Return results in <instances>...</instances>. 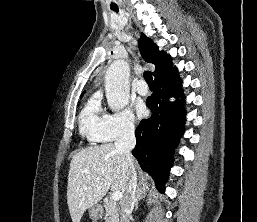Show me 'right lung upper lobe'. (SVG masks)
I'll use <instances>...</instances> for the list:
<instances>
[{
    "label": "right lung upper lobe",
    "instance_id": "obj_1",
    "mask_svg": "<svg viewBox=\"0 0 257 222\" xmlns=\"http://www.w3.org/2000/svg\"><path fill=\"white\" fill-rule=\"evenodd\" d=\"M139 50L146 62L155 65L156 68L153 72V76L155 78L176 70L172 67L170 56L163 51H159L158 46L143 33H141V37L139 39Z\"/></svg>",
    "mask_w": 257,
    "mask_h": 222
}]
</instances>
